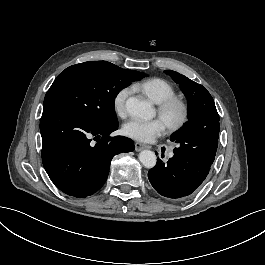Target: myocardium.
Listing matches in <instances>:
<instances>
[{"label": "myocardium", "instance_id": "myocardium-1", "mask_svg": "<svg viewBox=\"0 0 265 265\" xmlns=\"http://www.w3.org/2000/svg\"><path fill=\"white\" fill-rule=\"evenodd\" d=\"M173 112H177V118H170ZM158 116L164 122L170 132L183 129L189 121L190 108L188 103L179 96H171L158 105Z\"/></svg>", "mask_w": 265, "mask_h": 265}]
</instances>
